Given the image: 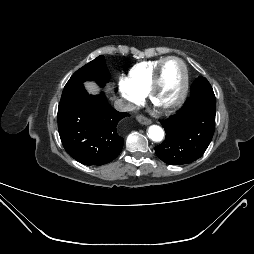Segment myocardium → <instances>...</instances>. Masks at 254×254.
<instances>
[{"label": "myocardium", "instance_id": "obj_1", "mask_svg": "<svg viewBox=\"0 0 254 254\" xmlns=\"http://www.w3.org/2000/svg\"><path fill=\"white\" fill-rule=\"evenodd\" d=\"M171 60L177 61L180 63L183 69V79H182V86L180 89V92L177 96V98L170 104L165 105V106H158L155 104V96L156 93L160 87L161 84V76H162V70L165 66V64ZM188 88H189V71L188 67L183 59L177 56H168L165 57L157 66L155 69L151 84L149 86V89L147 91V97L149 102L161 113H172L176 111L178 108L182 106L184 103L187 93H188Z\"/></svg>", "mask_w": 254, "mask_h": 254}]
</instances>
